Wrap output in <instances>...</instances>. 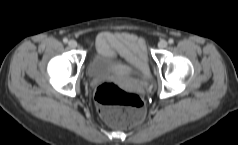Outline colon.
<instances>
[{
	"label": "colon",
	"instance_id": "1",
	"mask_svg": "<svg viewBox=\"0 0 238 145\" xmlns=\"http://www.w3.org/2000/svg\"><path fill=\"white\" fill-rule=\"evenodd\" d=\"M95 101L100 115L115 126L129 127L141 122L145 116L143 98L113 82H105L97 87Z\"/></svg>",
	"mask_w": 238,
	"mask_h": 145
}]
</instances>
